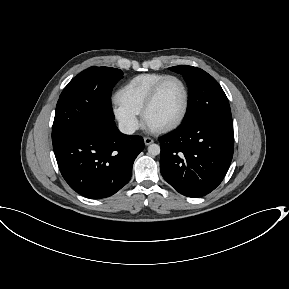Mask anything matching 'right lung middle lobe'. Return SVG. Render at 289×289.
Returning <instances> with one entry per match:
<instances>
[{"instance_id":"dd1d6c3e","label":"right lung middle lobe","mask_w":289,"mask_h":289,"mask_svg":"<svg viewBox=\"0 0 289 289\" xmlns=\"http://www.w3.org/2000/svg\"><path fill=\"white\" fill-rule=\"evenodd\" d=\"M122 74L120 69L103 66L90 67L74 77L57 102L52 143L87 125L114 123L110 97Z\"/></svg>"}]
</instances>
